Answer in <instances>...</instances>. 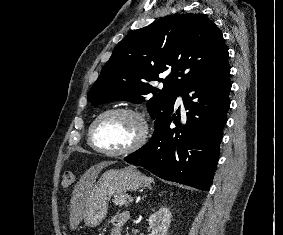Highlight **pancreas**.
<instances>
[{
	"label": "pancreas",
	"mask_w": 283,
	"mask_h": 235,
	"mask_svg": "<svg viewBox=\"0 0 283 235\" xmlns=\"http://www.w3.org/2000/svg\"><path fill=\"white\" fill-rule=\"evenodd\" d=\"M131 196L128 194H124L122 196H118L113 200V203L119 207L128 206L130 202Z\"/></svg>",
	"instance_id": "1"
}]
</instances>
